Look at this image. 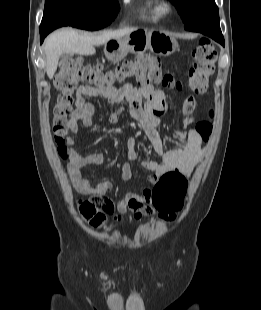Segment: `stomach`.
<instances>
[{
    "label": "stomach",
    "instance_id": "stomach-1",
    "mask_svg": "<svg viewBox=\"0 0 261 310\" xmlns=\"http://www.w3.org/2000/svg\"><path fill=\"white\" fill-rule=\"evenodd\" d=\"M178 43L174 37L162 31H148L137 29L121 39L109 40L104 47V52L112 62L121 61L128 52L136 53L150 50L159 56H169Z\"/></svg>",
    "mask_w": 261,
    "mask_h": 310
}]
</instances>
